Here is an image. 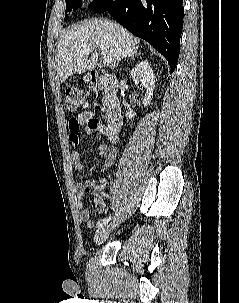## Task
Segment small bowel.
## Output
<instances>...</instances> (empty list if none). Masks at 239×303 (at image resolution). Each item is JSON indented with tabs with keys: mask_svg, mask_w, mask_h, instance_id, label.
I'll return each instance as SVG.
<instances>
[{
	"mask_svg": "<svg viewBox=\"0 0 239 303\" xmlns=\"http://www.w3.org/2000/svg\"><path fill=\"white\" fill-rule=\"evenodd\" d=\"M76 126V128H74ZM82 128L88 135L98 133L104 137H107L110 144H103L99 148V154L104 158V162L101 168V175L104 174L114 163L117 158V148L115 144L118 141V137L111 133L102 120L96 117L92 112H84L79 114L76 118H71L68 121L69 140L72 146L76 147L80 143V133ZM72 164L76 171L82 173L85 171V165L82 162L81 155L78 151L72 153ZM107 184V181L102 176L99 178V189H103ZM77 206L79 209V219L85 222L88 228H95V222L92 218L91 212L85 209L82 204V198L87 194V189L84 184H77L75 187ZM97 212L102 215L106 211V205L103 199L97 195L94 198Z\"/></svg>",
	"mask_w": 239,
	"mask_h": 303,
	"instance_id": "c3829d8e",
	"label": "small bowel"
}]
</instances>
